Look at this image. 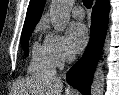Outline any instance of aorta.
Wrapping results in <instances>:
<instances>
[{
    "label": "aorta",
    "instance_id": "762f6f07",
    "mask_svg": "<svg viewBox=\"0 0 119 95\" xmlns=\"http://www.w3.org/2000/svg\"><path fill=\"white\" fill-rule=\"evenodd\" d=\"M74 0H52L50 6V17L56 31L62 32L70 20V12ZM104 70L99 62L94 73L91 85V95H103L104 93Z\"/></svg>",
    "mask_w": 119,
    "mask_h": 95
}]
</instances>
